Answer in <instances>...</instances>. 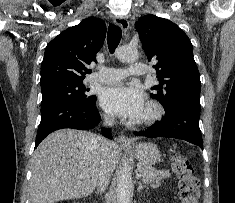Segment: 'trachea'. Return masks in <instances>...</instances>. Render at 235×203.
Listing matches in <instances>:
<instances>
[{"label": "trachea", "mask_w": 235, "mask_h": 203, "mask_svg": "<svg viewBox=\"0 0 235 203\" xmlns=\"http://www.w3.org/2000/svg\"><path fill=\"white\" fill-rule=\"evenodd\" d=\"M122 38V31L120 27L111 24L108 28L107 43L110 53H114L115 49Z\"/></svg>", "instance_id": "obj_1"}]
</instances>
